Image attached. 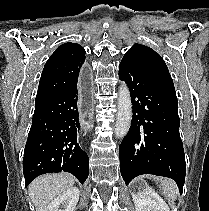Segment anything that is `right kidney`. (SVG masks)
I'll return each instance as SVG.
<instances>
[{
    "label": "right kidney",
    "instance_id": "ca27d5eb",
    "mask_svg": "<svg viewBox=\"0 0 209 211\" xmlns=\"http://www.w3.org/2000/svg\"><path fill=\"white\" fill-rule=\"evenodd\" d=\"M79 200V190L71 187L57 196L45 209V211H74ZM64 205V209H59Z\"/></svg>",
    "mask_w": 209,
    "mask_h": 211
}]
</instances>
